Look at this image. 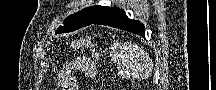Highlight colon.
<instances>
[{
	"mask_svg": "<svg viewBox=\"0 0 216 90\" xmlns=\"http://www.w3.org/2000/svg\"><path fill=\"white\" fill-rule=\"evenodd\" d=\"M72 44H75L77 46H80V47H83L85 46L86 44V41L84 39H79V40H76V41H73L71 42Z\"/></svg>",
	"mask_w": 216,
	"mask_h": 90,
	"instance_id": "colon-1",
	"label": "colon"
}]
</instances>
